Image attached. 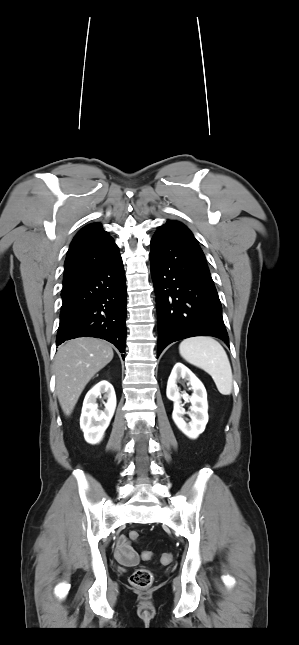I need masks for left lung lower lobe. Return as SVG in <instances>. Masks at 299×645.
Returning a JSON list of instances; mask_svg holds the SVG:
<instances>
[{
  "label": "left lung lower lobe",
  "mask_w": 299,
  "mask_h": 645,
  "mask_svg": "<svg viewBox=\"0 0 299 645\" xmlns=\"http://www.w3.org/2000/svg\"><path fill=\"white\" fill-rule=\"evenodd\" d=\"M150 261L160 313L158 356L170 343L193 336H214L229 346L221 302L191 231L178 221L160 226Z\"/></svg>",
  "instance_id": "0a47b994"
}]
</instances>
